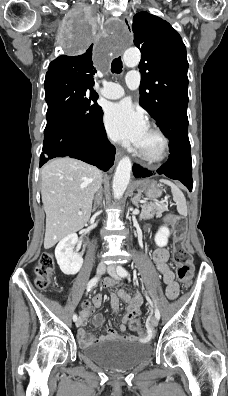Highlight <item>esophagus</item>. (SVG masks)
Segmentation results:
<instances>
[{
    "mask_svg": "<svg viewBox=\"0 0 228 396\" xmlns=\"http://www.w3.org/2000/svg\"><path fill=\"white\" fill-rule=\"evenodd\" d=\"M123 21H124V23L128 24L129 26L131 25V20L128 16H125ZM121 155H122L121 151L117 150L116 155H115L116 160H119Z\"/></svg>",
    "mask_w": 228,
    "mask_h": 396,
    "instance_id": "1",
    "label": "esophagus"
}]
</instances>
